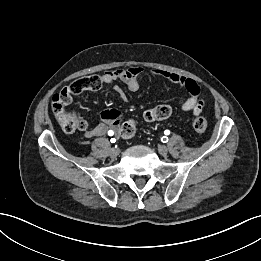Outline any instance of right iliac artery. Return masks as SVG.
Listing matches in <instances>:
<instances>
[{"label": "right iliac artery", "mask_w": 261, "mask_h": 261, "mask_svg": "<svg viewBox=\"0 0 261 261\" xmlns=\"http://www.w3.org/2000/svg\"><path fill=\"white\" fill-rule=\"evenodd\" d=\"M108 134H109L110 136H112L114 133H113V131H109ZM110 141H111V143H115V142H116V139H115V138H111Z\"/></svg>", "instance_id": "1"}]
</instances>
